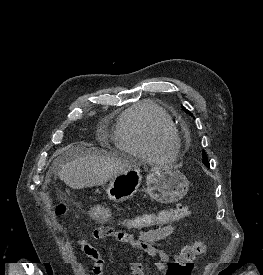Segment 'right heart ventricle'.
I'll use <instances>...</instances> for the list:
<instances>
[{
    "label": "right heart ventricle",
    "instance_id": "obj_1",
    "mask_svg": "<svg viewBox=\"0 0 263 275\" xmlns=\"http://www.w3.org/2000/svg\"><path fill=\"white\" fill-rule=\"evenodd\" d=\"M157 131L177 136L171 117L159 105L144 101L126 109L119 117L115 131V145L128 154L142 158H173L178 141L163 142Z\"/></svg>",
    "mask_w": 263,
    "mask_h": 275
}]
</instances>
